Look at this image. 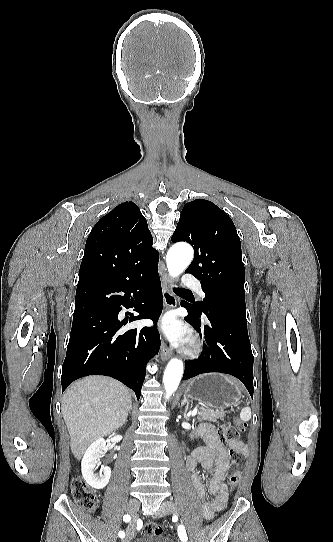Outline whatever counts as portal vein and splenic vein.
<instances>
[{"instance_id": "18ae733b", "label": "portal vein and splenic vein", "mask_w": 333, "mask_h": 542, "mask_svg": "<svg viewBox=\"0 0 333 542\" xmlns=\"http://www.w3.org/2000/svg\"><path fill=\"white\" fill-rule=\"evenodd\" d=\"M197 414V408H195V410H193V412H191V416H196Z\"/></svg>"}]
</instances>
